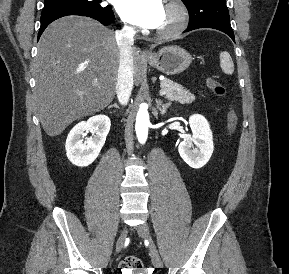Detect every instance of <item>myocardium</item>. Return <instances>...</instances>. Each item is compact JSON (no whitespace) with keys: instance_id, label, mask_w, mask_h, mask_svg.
Listing matches in <instances>:
<instances>
[{"instance_id":"1","label":"myocardium","mask_w":289,"mask_h":274,"mask_svg":"<svg viewBox=\"0 0 289 274\" xmlns=\"http://www.w3.org/2000/svg\"><path fill=\"white\" fill-rule=\"evenodd\" d=\"M166 8L174 11L176 15L175 22L170 27L157 29L156 35L161 38H172L185 30L189 21V13L181 0H169L166 3Z\"/></svg>"}]
</instances>
